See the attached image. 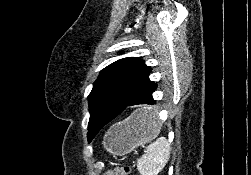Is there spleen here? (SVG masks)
I'll return each instance as SVG.
<instances>
[{"label":"spleen","mask_w":251,"mask_h":175,"mask_svg":"<svg viewBox=\"0 0 251 175\" xmlns=\"http://www.w3.org/2000/svg\"><path fill=\"white\" fill-rule=\"evenodd\" d=\"M141 115H145L147 119L153 117L152 111L148 109H139ZM139 159H137V169L141 175H157L163 167H165L170 157V145L165 137H158L156 141L149 143Z\"/></svg>","instance_id":"3e777b00"}]
</instances>
